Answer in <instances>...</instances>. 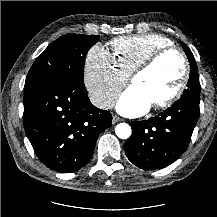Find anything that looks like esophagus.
Here are the masks:
<instances>
[{"label":"esophagus","instance_id":"obj_1","mask_svg":"<svg viewBox=\"0 0 217 217\" xmlns=\"http://www.w3.org/2000/svg\"><path fill=\"white\" fill-rule=\"evenodd\" d=\"M122 121V119L116 115L112 117V123L116 124L117 122Z\"/></svg>","mask_w":217,"mask_h":217}]
</instances>
